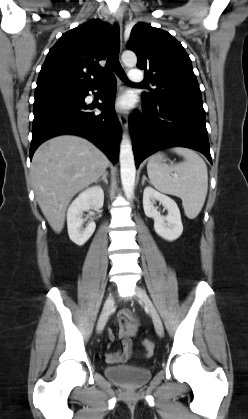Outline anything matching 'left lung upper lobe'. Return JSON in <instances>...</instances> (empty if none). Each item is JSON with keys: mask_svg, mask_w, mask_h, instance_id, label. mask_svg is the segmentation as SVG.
I'll return each instance as SVG.
<instances>
[{"mask_svg": "<svg viewBox=\"0 0 248 419\" xmlns=\"http://www.w3.org/2000/svg\"><path fill=\"white\" fill-rule=\"evenodd\" d=\"M127 48L136 53L137 67L155 88L142 93V101L156 103L167 98L202 99L189 55L168 32L145 23L131 31Z\"/></svg>", "mask_w": 248, "mask_h": 419, "instance_id": "1", "label": "left lung upper lobe"}]
</instances>
